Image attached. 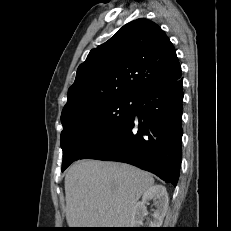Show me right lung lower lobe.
I'll return each instance as SVG.
<instances>
[{
    "instance_id": "1",
    "label": "right lung lower lobe",
    "mask_w": 231,
    "mask_h": 231,
    "mask_svg": "<svg viewBox=\"0 0 231 231\" xmlns=\"http://www.w3.org/2000/svg\"><path fill=\"white\" fill-rule=\"evenodd\" d=\"M182 89L178 79L141 91L128 121L80 159L132 164L176 186L182 156Z\"/></svg>"
}]
</instances>
